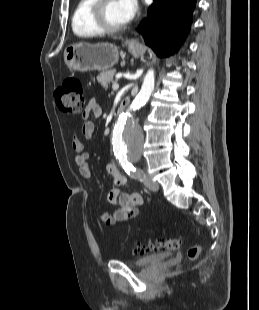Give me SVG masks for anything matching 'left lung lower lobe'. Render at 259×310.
Instances as JSON below:
<instances>
[{
    "mask_svg": "<svg viewBox=\"0 0 259 310\" xmlns=\"http://www.w3.org/2000/svg\"><path fill=\"white\" fill-rule=\"evenodd\" d=\"M196 0H154L139 25L145 43L159 57L175 53L190 31Z\"/></svg>",
    "mask_w": 259,
    "mask_h": 310,
    "instance_id": "left-lung-lower-lobe-1",
    "label": "left lung lower lobe"
}]
</instances>
